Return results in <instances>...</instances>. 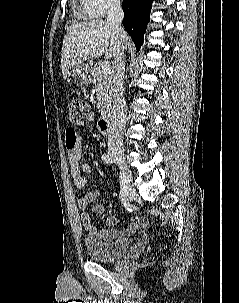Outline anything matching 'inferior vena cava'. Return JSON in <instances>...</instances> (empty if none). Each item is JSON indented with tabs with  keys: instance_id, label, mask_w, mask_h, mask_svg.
Instances as JSON below:
<instances>
[{
	"instance_id": "inferior-vena-cava-1",
	"label": "inferior vena cava",
	"mask_w": 239,
	"mask_h": 303,
	"mask_svg": "<svg viewBox=\"0 0 239 303\" xmlns=\"http://www.w3.org/2000/svg\"><path fill=\"white\" fill-rule=\"evenodd\" d=\"M107 22L112 24L117 33L118 47L114 55V65L112 69V126L109 136L108 147L110 150H122L123 131L126 123V102L124 99L123 78H124V49L123 39L124 29L121 25L124 13L120 0H110L108 7Z\"/></svg>"
}]
</instances>
